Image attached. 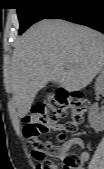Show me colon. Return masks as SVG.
Masks as SVG:
<instances>
[{"label": "colon", "mask_w": 104, "mask_h": 169, "mask_svg": "<svg viewBox=\"0 0 104 169\" xmlns=\"http://www.w3.org/2000/svg\"><path fill=\"white\" fill-rule=\"evenodd\" d=\"M89 106L88 99L80 91L64 93L56 105H34L23 118L24 136L31 145L32 155L37 162V169H58L56 157L58 146L51 142H43L40 135L47 133L57 122L68 116L67 132H74L83 122L84 114ZM65 169H78L80 158L67 155L64 160Z\"/></svg>", "instance_id": "5ec220e1"}]
</instances>
